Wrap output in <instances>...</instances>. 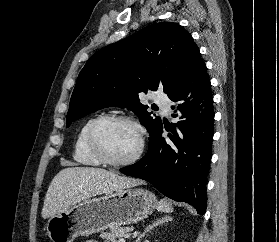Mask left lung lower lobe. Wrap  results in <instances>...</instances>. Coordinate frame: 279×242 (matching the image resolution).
Returning a JSON list of instances; mask_svg holds the SVG:
<instances>
[{"mask_svg": "<svg viewBox=\"0 0 279 242\" xmlns=\"http://www.w3.org/2000/svg\"><path fill=\"white\" fill-rule=\"evenodd\" d=\"M179 121L162 137V124L146 155L120 171L150 182L165 196L206 212V185L212 157L214 109L207 68L198 51L180 85L169 95Z\"/></svg>", "mask_w": 279, "mask_h": 242, "instance_id": "obj_1", "label": "left lung lower lobe"}]
</instances>
